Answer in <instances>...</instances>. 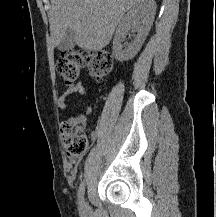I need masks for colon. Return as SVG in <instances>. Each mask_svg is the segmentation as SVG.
Listing matches in <instances>:
<instances>
[{"mask_svg":"<svg viewBox=\"0 0 216 217\" xmlns=\"http://www.w3.org/2000/svg\"><path fill=\"white\" fill-rule=\"evenodd\" d=\"M87 66L90 76L96 81L105 79L113 68V58L107 51L89 53L80 49L66 50L56 62V71L66 85H73L79 78L81 70ZM66 152L71 159H77L88 149L85 132V119L74 116L61 125Z\"/></svg>","mask_w":216,"mask_h":217,"instance_id":"5ec220e1","label":"colon"}]
</instances>
